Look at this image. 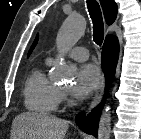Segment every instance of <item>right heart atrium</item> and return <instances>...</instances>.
Here are the masks:
<instances>
[{
    "mask_svg": "<svg viewBox=\"0 0 141 139\" xmlns=\"http://www.w3.org/2000/svg\"><path fill=\"white\" fill-rule=\"evenodd\" d=\"M60 102H66L67 101V94L64 91H60Z\"/></svg>",
    "mask_w": 141,
    "mask_h": 139,
    "instance_id": "right-heart-atrium-1",
    "label": "right heart atrium"
}]
</instances>
